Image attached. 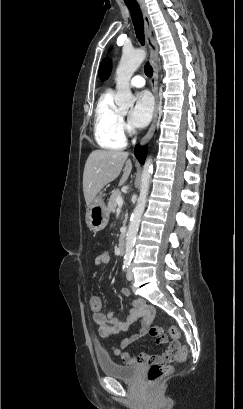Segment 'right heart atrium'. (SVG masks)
Returning <instances> with one entry per match:
<instances>
[{
	"instance_id": "right-heart-atrium-1",
	"label": "right heart atrium",
	"mask_w": 243,
	"mask_h": 409,
	"mask_svg": "<svg viewBox=\"0 0 243 409\" xmlns=\"http://www.w3.org/2000/svg\"><path fill=\"white\" fill-rule=\"evenodd\" d=\"M119 126L123 133L129 130L128 126L126 125V123L124 122L122 118H120Z\"/></svg>"
}]
</instances>
